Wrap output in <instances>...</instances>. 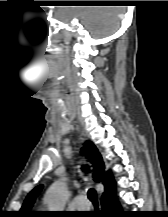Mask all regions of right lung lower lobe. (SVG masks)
<instances>
[{
    "label": "right lung lower lobe",
    "mask_w": 168,
    "mask_h": 217,
    "mask_svg": "<svg viewBox=\"0 0 168 217\" xmlns=\"http://www.w3.org/2000/svg\"><path fill=\"white\" fill-rule=\"evenodd\" d=\"M116 192L101 199L103 211H101V217H129L130 214L121 210L120 203L115 195Z\"/></svg>",
    "instance_id": "right-lung-lower-lobe-1"
}]
</instances>
